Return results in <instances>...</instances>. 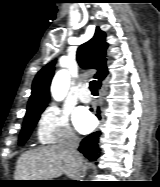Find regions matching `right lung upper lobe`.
Returning <instances> with one entry per match:
<instances>
[{"label": "right lung upper lobe", "mask_w": 160, "mask_h": 187, "mask_svg": "<svg viewBox=\"0 0 160 187\" xmlns=\"http://www.w3.org/2000/svg\"><path fill=\"white\" fill-rule=\"evenodd\" d=\"M106 34L96 27L92 39L81 45L77 50V61L82 68H94L98 72L94 76L99 82L107 75L106 67ZM55 61L42 68L36 75L32 84L27 113L44 110L49 100V86L54 75Z\"/></svg>", "instance_id": "1"}]
</instances>
